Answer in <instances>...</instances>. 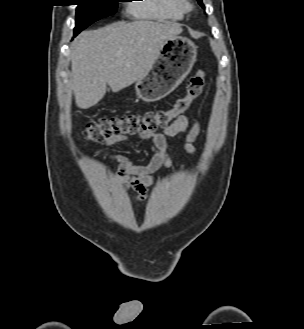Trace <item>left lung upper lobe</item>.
I'll return each instance as SVG.
<instances>
[{
    "instance_id": "left-lung-upper-lobe-1",
    "label": "left lung upper lobe",
    "mask_w": 304,
    "mask_h": 329,
    "mask_svg": "<svg viewBox=\"0 0 304 329\" xmlns=\"http://www.w3.org/2000/svg\"><path fill=\"white\" fill-rule=\"evenodd\" d=\"M199 2V4L204 7L203 3H202V0H197Z\"/></svg>"
}]
</instances>
